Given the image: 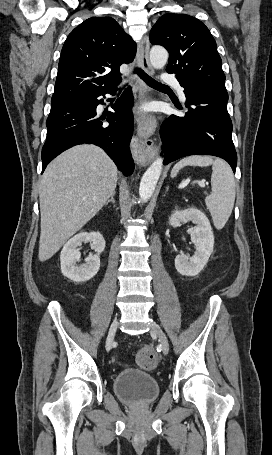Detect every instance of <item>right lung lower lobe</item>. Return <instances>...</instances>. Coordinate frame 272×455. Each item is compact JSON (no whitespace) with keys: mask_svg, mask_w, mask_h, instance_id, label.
<instances>
[{"mask_svg":"<svg viewBox=\"0 0 272 455\" xmlns=\"http://www.w3.org/2000/svg\"><path fill=\"white\" fill-rule=\"evenodd\" d=\"M116 86L51 106L46 121L47 138L42 148V173L61 152L88 143L103 148L125 176L132 174L134 162L129 149L133 134L131 88L128 87L112 106L114 113L108 112L100 117L96 113L97 105L103 104L99 97H105L107 93L114 95ZM104 119L108 123L103 122Z\"/></svg>","mask_w":272,"mask_h":455,"instance_id":"98d812e1","label":"right lung lower lobe"}]
</instances>
